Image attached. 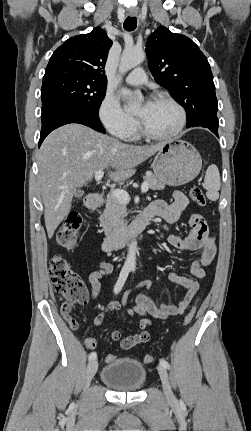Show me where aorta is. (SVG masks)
Listing matches in <instances>:
<instances>
[{"instance_id": "aorta-1", "label": "aorta", "mask_w": 251, "mask_h": 431, "mask_svg": "<svg viewBox=\"0 0 251 431\" xmlns=\"http://www.w3.org/2000/svg\"><path fill=\"white\" fill-rule=\"evenodd\" d=\"M144 58H145V53L142 49L135 48V47L125 48L121 56L119 72L121 74L127 73L129 70H131L132 68L142 63ZM121 93L123 95L132 94V92L127 88H122ZM136 251H137V241L133 240L128 245V253L125 261V266L129 267L132 270L136 268Z\"/></svg>"}]
</instances>
